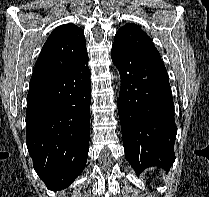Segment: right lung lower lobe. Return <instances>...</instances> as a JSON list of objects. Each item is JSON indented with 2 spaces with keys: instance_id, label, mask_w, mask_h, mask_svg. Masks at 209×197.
<instances>
[{
  "instance_id": "obj_1",
  "label": "right lung lower lobe",
  "mask_w": 209,
  "mask_h": 197,
  "mask_svg": "<svg viewBox=\"0 0 209 197\" xmlns=\"http://www.w3.org/2000/svg\"><path fill=\"white\" fill-rule=\"evenodd\" d=\"M90 89L88 54L66 70L30 84L26 143L35 171L50 190L68 187L86 165Z\"/></svg>"
}]
</instances>
